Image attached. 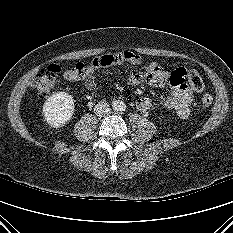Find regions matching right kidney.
Masks as SVG:
<instances>
[{
    "instance_id": "ca27d5eb",
    "label": "right kidney",
    "mask_w": 233,
    "mask_h": 233,
    "mask_svg": "<svg viewBox=\"0 0 233 233\" xmlns=\"http://www.w3.org/2000/svg\"><path fill=\"white\" fill-rule=\"evenodd\" d=\"M74 99L66 92H58L50 96L43 106L45 121L54 128L68 123L74 114Z\"/></svg>"
}]
</instances>
